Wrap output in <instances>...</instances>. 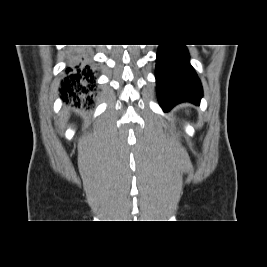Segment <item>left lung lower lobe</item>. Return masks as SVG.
Masks as SVG:
<instances>
[{"label": "left lung lower lobe", "mask_w": 267, "mask_h": 267, "mask_svg": "<svg viewBox=\"0 0 267 267\" xmlns=\"http://www.w3.org/2000/svg\"><path fill=\"white\" fill-rule=\"evenodd\" d=\"M156 83L158 100L164 111L184 101L199 105L203 95L185 45H159Z\"/></svg>", "instance_id": "1"}]
</instances>
